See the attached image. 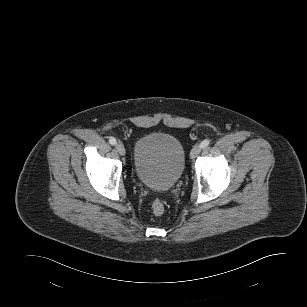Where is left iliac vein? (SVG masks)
Listing matches in <instances>:
<instances>
[{
  "label": "left iliac vein",
  "mask_w": 307,
  "mask_h": 307,
  "mask_svg": "<svg viewBox=\"0 0 307 307\" xmlns=\"http://www.w3.org/2000/svg\"><path fill=\"white\" fill-rule=\"evenodd\" d=\"M200 152H201V146L195 145L190 152V157L196 158L200 154Z\"/></svg>",
  "instance_id": "1"
}]
</instances>
